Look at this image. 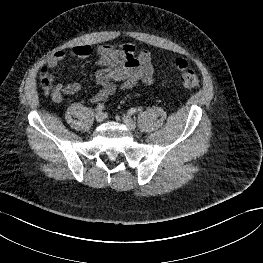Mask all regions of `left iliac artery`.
Listing matches in <instances>:
<instances>
[{"label":"left iliac artery","mask_w":263,"mask_h":263,"mask_svg":"<svg viewBox=\"0 0 263 263\" xmlns=\"http://www.w3.org/2000/svg\"><path fill=\"white\" fill-rule=\"evenodd\" d=\"M130 113H131V114H136V113H137V110H136L135 108H131V109H130Z\"/></svg>","instance_id":"44dca946"}]
</instances>
